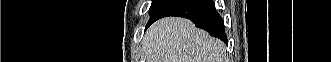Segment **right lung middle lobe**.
Wrapping results in <instances>:
<instances>
[{
	"mask_svg": "<svg viewBox=\"0 0 331 62\" xmlns=\"http://www.w3.org/2000/svg\"><path fill=\"white\" fill-rule=\"evenodd\" d=\"M177 0H153L149 9L150 19H155L159 16L166 8L175 3Z\"/></svg>",
	"mask_w": 331,
	"mask_h": 62,
	"instance_id": "obj_1",
	"label": "right lung middle lobe"
}]
</instances>
